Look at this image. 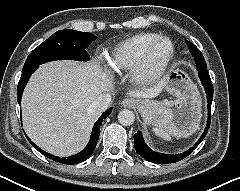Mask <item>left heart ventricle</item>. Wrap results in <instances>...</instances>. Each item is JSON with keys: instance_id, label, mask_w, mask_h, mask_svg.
I'll return each instance as SVG.
<instances>
[{"instance_id": "left-heart-ventricle-1", "label": "left heart ventricle", "mask_w": 240, "mask_h": 191, "mask_svg": "<svg viewBox=\"0 0 240 191\" xmlns=\"http://www.w3.org/2000/svg\"><path fill=\"white\" fill-rule=\"evenodd\" d=\"M169 51H170V46L168 42L164 41L158 44L152 54V58H151L152 66L159 65L169 54Z\"/></svg>"}]
</instances>
